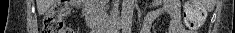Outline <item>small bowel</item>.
Segmentation results:
<instances>
[{
	"mask_svg": "<svg viewBox=\"0 0 235 33\" xmlns=\"http://www.w3.org/2000/svg\"><path fill=\"white\" fill-rule=\"evenodd\" d=\"M155 5L157 7L145 15L141 33H150L152 24L162 15H167L169 17L167 33H193L188 31L181 23L179 0L157 1Z\"/></svg>",
	"mask_w": 235,
	"mask_h": 33,
	"instance_id": "1",
	"label": "small bowel"
}]
</instances>
